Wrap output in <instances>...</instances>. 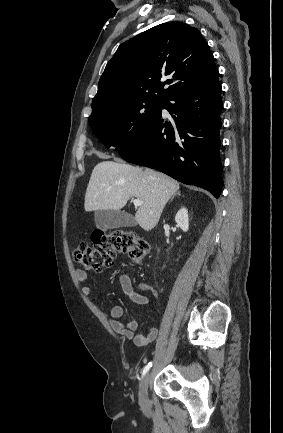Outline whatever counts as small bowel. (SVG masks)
<instances>
[{
    "label": "small bowel",
    "mask_w": 283,
    "mask_h": 433,
    "mask_svg": "<svg viewBox=\"0 0 283 433\" xmlns=\"http://www.w3.org/2000/svg\"><path fill=\"white\" fill-rule=\"evenodd\" d=\"M76 278L78 281L84 282L87 280L88 274L84 270H77ZM121 286L124 293L134 303L138 305H148L149 299L134 290L130 279L123 277L121 279ZM82 292L85 296L90 297L93 293V290L90 286L86 285L82 287ZM123 316L124 309L122 306L114 305L110 309L111 319L109 323L114 332L133 340L134 344L137 346H146L156 339L158 330L155 327H151L147 333H137L139 322L137 320L124 322L121 320Z\"/></svg>",
    "instance_id": "small-bowel-1"
}]
</instances>
